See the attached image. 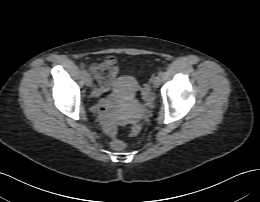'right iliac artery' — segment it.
<instances>
[{
  "instance_id": "obj_1",
  "label": "right iliac artery",
  "mask_w": 260,
  "mask_h": 202,
  "mask_svg": "<svg viewBox=\"0 0 260 202\" xmlns=\"http://www.w3.org/2000/svg\"><path fill=\"white\" fill-rule=\"evenodd\" d=\"M82 73H83V75H87V71L86 70H83Z\"/></svg>"
}]
</instances>
